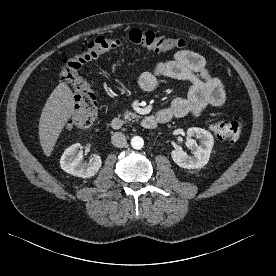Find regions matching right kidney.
Returning a JSON list of instances; mask_svg holds the SVG:
<instances>
[{
  "instance_id": "ca27d5eb",
  "label": "right kidney",
  "mask_w": 276,
  "mask_h": 276,
  "mask_svg": "<svg viewBox=\"0 0 276 276\" xmlns=\"http://www.w3.org/2000/svg\"><path fill=\"white\" fill-rule=\"evenodd\" d=\"M81 148L80 143H75L68 147L61 156L60 166L71 175L90 178L98 172L102 161L99 155L94 154L89 162H84L82 151L78 152Z\"/></svg>"
}]
</instances>
